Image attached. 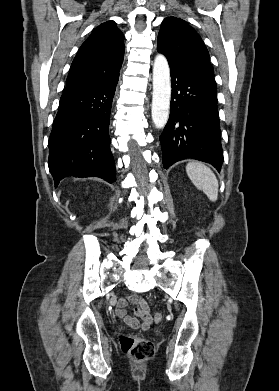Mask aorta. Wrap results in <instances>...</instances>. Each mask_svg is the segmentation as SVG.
<instances>
[{"instance_id":"1","label":"aorta","mask_w":279,"mask_h":391,"mask_svg":"<svg viewBox=\"0 0 279 391\" xmlns=\"http://www.w3.org/2000/svg\"><path fill=\"white\" fill-rule=\"evenodd\" d=\"M171 98L170 69L164 55L158 54L153 64L152 120L156 128L168 121Z\"/></svg>"}]
</instances>
